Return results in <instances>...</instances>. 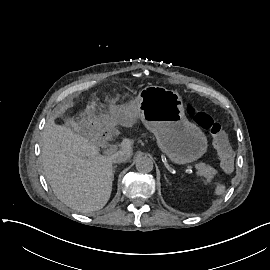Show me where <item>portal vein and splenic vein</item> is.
I'll return each instance as SVG.
<instances>
[{"mask_svg": "<svg viewBox=\"0 0 270 270\" xmlns=\"http://www.w3.org/2000/svg\"><path fill=\"white\" fill-rule=\"evenodd\" d=\"M114 152H116V149H112V148H103V149L101 150V153H102L103 155H112ZM186 167H188L189 170L195 169V166L190 165V164H189L188 166H186Z\"/></svg>", "mask_w": 270, "mask_h": 270, "instance_id": "1", "label": "portal vein and splenic vein"}]
</instances>
